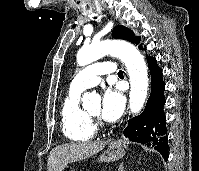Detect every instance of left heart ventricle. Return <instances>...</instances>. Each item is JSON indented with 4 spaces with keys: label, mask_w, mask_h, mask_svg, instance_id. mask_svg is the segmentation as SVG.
Returning <instances> with one entry per match:
<instances>
[{
    "label": "left heart ventricle",
    "mask_w": 199,
    "mask_h": 171,
    "mask_svg": "<svg viewBox=\"0 0 199 171\" xmlns=\"http://www.w3.org/2000/svg\"><path fill=\"white\" fill-rule=\"evenodd\" d=\"M90 113L95 114V115H98V113H99V106H96L95 108H93V109L90 111Z\"/></svg>",
    "instance_id": "b2bd125f"
}]
</instances>
